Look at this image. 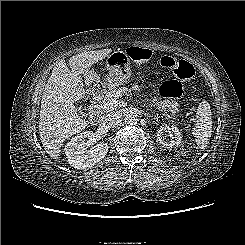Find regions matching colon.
I'll list each match as a JSON object with an SVG mask.
<instances>
[{
    "label": "colon",
    "mask_w": 245,
    "mask_h": 245,
    "mask_svg": "<svg viewBox=\"0 0 245 245\" xmlns=\"http://www.w3.org/2000/svg\"><path fill=\"white\" fill-rule=\"evenodd\" d=\"M128 55L135 61H147L151 57V52L148 49L130 48ZM160 62L165 69L178 78V80L163 83L159 91L160 96L165 100H175L182 94L181 81H191L194 76V68L189 62L168 55L163 56ZM179 109L182 111L183 106L180 105Z\"/></svg>",
    "instance_id": "5ec220e1"
}]
</instances>
